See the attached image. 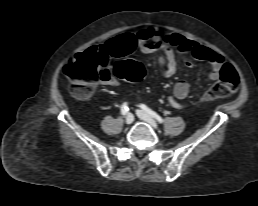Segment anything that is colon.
I'll return each instance as SVG.
<instances>
[{
	"label": "colon",
	"mask_w": 258,
	"mask_h": 206,
	"mask_svg": "<svg viewBox=\"0 0 258 206\" xmlns=\"http://www.w3.org/2000/svg\"><path fill=\"white\" fill-rule=\"evenodd\" d=\"M130 47L133 48L134 44L130 43ZM64 72L70 82L71 94L78 99L88 98L98 82L108 80L111 76L108 55L92 48L73 56ZM113 73L120 79L139 82L145 71L140 61L127 60L116 63ZM239 82L234 67L225 64L221 68L219 81L202 95L200 101L229 96L237 91Z\"/></svg>",
	"instance_id": "obj_1"
}]
</instances>
